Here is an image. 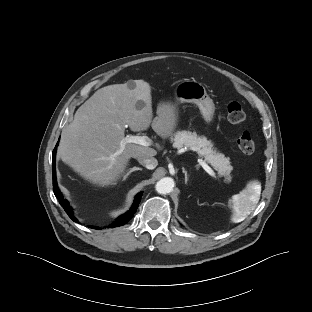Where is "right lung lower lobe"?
<instances>
[{"instance_id":"right-lung-lower-lobe-1","label":"right lung lower lobe","mask_w":312,"mask_h":312,"mask_svg":"<svg viewBox=\"0 0 312 312\" xmlns=\"http://www.w3.org/2000/svg\"><path fill=\"white\" fill-rule=\"evenodd\" d=\"M57 145H58V143H57ZM57 145H56L55 149L53 150V155H52V157H53V160H52L53 191H54L56 198L59 200L60 205L65 209L68 216L73 221L79 223L78 220L73 215L72 207L70 206L68 201L63 198V196L61 195L60 190L58 188V185H57L56 170H55V158H56L55 154H56ZM142 194H143V192H140L139 194L136 195L135 200H134V204L132 205L131 209L127 213H125L124 215H121L120 217H118L116 222L112 226H110L111 228L122 226V225L126 224L133 217V215L136 212L138 205L140 203ZM89 227L93 228V229H101L100 227H96V226H89Z\"/></svg>"}]
</instances>
